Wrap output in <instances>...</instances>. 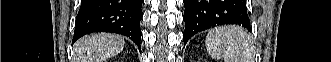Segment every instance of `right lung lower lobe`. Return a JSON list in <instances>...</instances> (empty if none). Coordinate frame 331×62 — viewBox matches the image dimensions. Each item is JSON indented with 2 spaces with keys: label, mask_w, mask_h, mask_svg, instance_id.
<instances>
[{
  "label": "right lung lower lobe",
  "mask_w": 331,
  "mask_h": 62,
  "mask_svg": "<svg viewBox=\"0 0 331 62\" xmlns=\"http://www.w3.org/2000/svg\"><path fill=\"white\" fill-rule=\"evenodd\" d=\"M143 0H81L73 43L93 32L122 34L140 49Z\"/></svg>",
  "instance_id": "right-lung-lower-lobe-1"
}]
</instances>
